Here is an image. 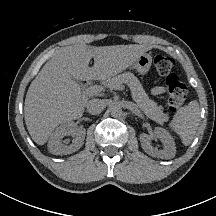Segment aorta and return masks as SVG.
<instances>
[{
	"instance_id": "1",
	"label": "aorta",
	"mask_w": 216,
	"mask_h": 216,
	"mask_svg": "<svg viewBox=\"0 0 216 216\" xmlns=\"http://www.w3.org/2000/svg\"><path fill=\"white\" fill-rule=\"evenodd\" d=\"M112 117H120L123 114L122 108L120 106H113L110 109Z\"/></svg>"
}]
</instances>
